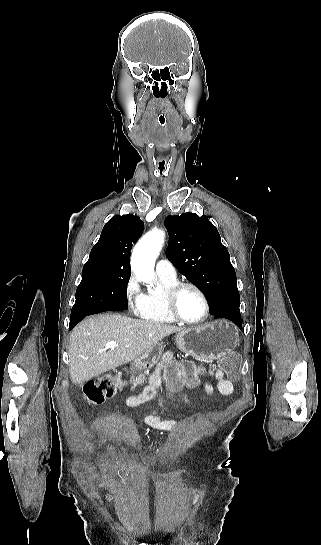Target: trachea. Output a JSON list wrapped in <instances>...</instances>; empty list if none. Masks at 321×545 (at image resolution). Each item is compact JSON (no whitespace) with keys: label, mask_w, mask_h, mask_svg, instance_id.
<instances>
[{"label":"trachea","mask_w":321,"mask_h":545,"mask_svg":"<svg viewBox=\"0 0 321 545\" xmlns=\"http://www.w3.org/2000/svg\"><path fill=\"white\" fill-rule=\"evenodd\" d=\"M158 117H159L158 122L161 124V126H163V127L166 126L167 123H166V121L164 119V117H165L164 114L161 113V114H159Z\"/></svg>","instance_id":"3493384b"}]
</instances>
